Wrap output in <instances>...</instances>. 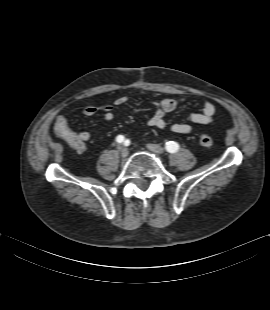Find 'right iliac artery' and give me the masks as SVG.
Instances as JSON below:
<instances>
[{
	"instance_id": "1",
	"label": "right iliac artery",
	"mask_w": 270,
	"mask_h": 310,
	"mask_svg": "<svg viewBox=\"0 0 270 310\" xmlns=\"http://www.w3.org/2000/svg\"><path fill=\"white\" fill-rule=\"evenodd\" d=\"M116 141H117L118 143L125 142V137H124L123 135H118V136L116 137Z\"/></svg>"
}]
</instances>
